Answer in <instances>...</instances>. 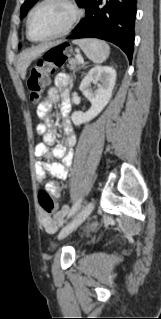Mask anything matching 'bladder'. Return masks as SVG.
<instances>
[{"instance_id":"obj_1","label":"bladder","mask_w":161,"mask_h":319,"mask_svg":"<svg viewBox=\"0 0 161 319\" xmlns=\"http://www.w3.org/2000/svg\"><path fill=\"white\" fill-rule=\"evenodd\" d=\"M51 247L53 248V249H58V248H65V249H71V250H74V251H76V252H78L79 251V246L76 244V243H73V242H66V243H61V242H58V241H56V240H53L52 242H51Z\"/></svg>"}]
</instances>
